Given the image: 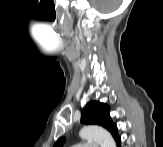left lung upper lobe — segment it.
<instances>
[{
    "label": "left lung upper lobe",
    "mask_w": 163,
    "mask_h": 147,
    "mask_svg": "<svg viewBox=\"0 0 163 147\" xmlns=\"http://www.w3.org/2000/svg\"><path fill=\"white\" fill-rule=\"evenodd\" d=\"M109 106L98 101H90L81 114V122L85 124H96L107 129L113 137L117 133V126L112 122L109 115ZM64 143V139H59L54 147H61Z\"/></svg>",
    "instance_id": "1"
}]
</instances>
